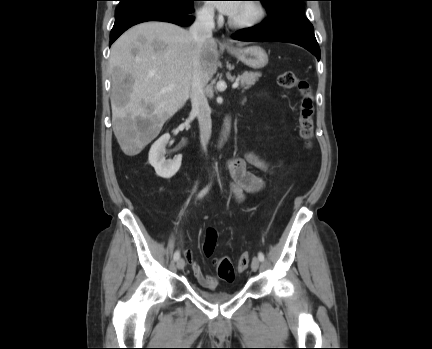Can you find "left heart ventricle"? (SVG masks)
<instances>
[{"label":"left heart ventricle","instance_id":"left-heart-ventricle-1","mask_svg":"<svg viewBox=\"0 0 432 349\" xmlns=\"http://www.w3.org/2000/svg\"><path fill=\"white\" fill-rule=\"evenodd\" d=\"M256 11L254 7L249 3L240 4L236 12L231 16L236 20H247L254 17Z\"/></svg>","mask_w":432,"mask_h":349}]
</instances>
